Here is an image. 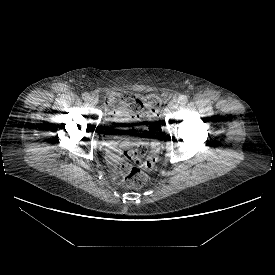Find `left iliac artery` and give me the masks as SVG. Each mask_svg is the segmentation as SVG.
Returning a JSON list of instances; mask_svg holds the SVG:
<instances>
[{"label": "left iliac artery", "mask_w": 275, "mask_h": 275, "mask_svg": "<svg viewBox=\"0 0 275 275\" xmlns=\"http://www.w3.org/2000/svg\"><path fill=\"white\" fill-rule=\"evenodd\" d=\"M177 102H178L180 105H185V104L188 102V98H187V96H185V95H180V96L178 97Z\"/></svg>", "instance_id": "44dca946"}]
</instances>
